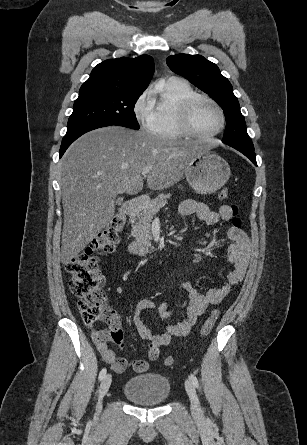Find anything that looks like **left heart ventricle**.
Here are the masks:
<instances>
[{"instance_id":"b2bd125f","label":"left heart ventricle","mask_w":307,"mask_h":445,"mask_svg":"<svg viewBox=\"0 0 307 445\" xmlns=\"http://www.w3.org/2000/svg\"><path fill=\"white\" fill-rule=\"evenodd\" d=\"M194 120L198 128L204 133H211L222 126L220 111L208 102H199L194 109Z\"/></svg>"}]
</instances>
